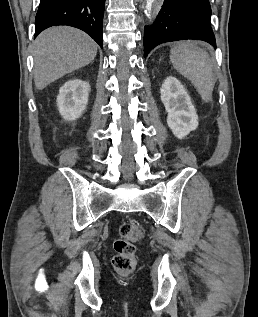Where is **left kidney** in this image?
Masks as SVG:
<instances>
[{"label": "left kidney", "instance_id": "5707ae66", "mask_svg": "<svg viewBox=\"0 0 258 317\" xmlns=\"http://www.w3.org/2000/svg\"><path fill=\"white\" fill-rule=\"evenodd\" d=\"M160 92L161 100L168 112V126L177 138H184L199 124L191 96L175 76L165 78Z\"/></svg>", "mask_w": 258, "mask_h": 317}]
</instances>
